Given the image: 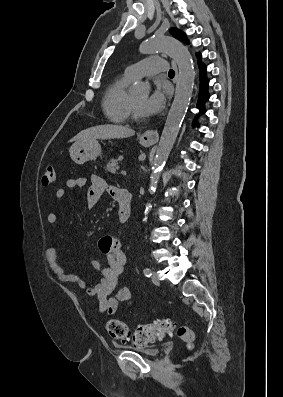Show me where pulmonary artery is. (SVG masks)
<instances>
[{"label":"pulmonary artery","instance_id":"1","mask_svg":"<svg viewBox=\"0 0 283 397\" xmlns=\"http://www.w3.org/2000/svg\"><path fill=\"white\" fill-rule=\"evenodd\" d=\"M166 69V62L162 58L154 56L128 66L125 74L133 80L144 76H152L164 72Z\"/></svg>","mask_w":283,"mask_h":397}]
</instances>
